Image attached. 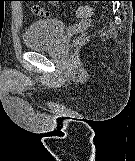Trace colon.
Masks as SVG:
<instances>
[{"label": "colon", "instance_id": "obj_1", "mask_svg": "<svg viewBox=\"0 0 135 161\" xmlns=\"http://www.w3.org/2000/svg\"><path fill=\"white\" fill-rule=\"evenodd\" d=\"M31 11L34 15L38 17L49 16V12L38 5H32ZM92 13H93V9L90 5H81L77 10V14L82 17L90 16Z\"/></svg>", "mask_w": 135, "mask_h": 161}]
</instances>
